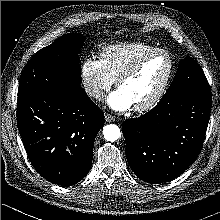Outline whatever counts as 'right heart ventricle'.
<instances>
[{
    "label": "right heart ventricle",
    "mask_w": 220,
    "mask_h": 220,
    "mask_svg": "<svg viewBox=\"0 0 220 220\" xmlns=\"http://www.w3.org/2000/svg\"><path fill=\"white\" fill-rule=\"evenodd\" d=\"M155 48L142 42L113 44L102 49L100 60L106 72L115 80L137 58Z\"/></svg>",
    "instance_id": "e07e8e85"
}]
</instances>
